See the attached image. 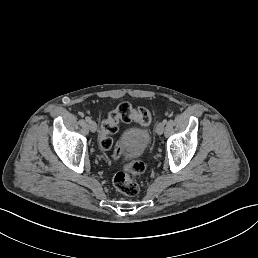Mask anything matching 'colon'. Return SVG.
<instances>
[{
	"instance_id": "1",
	"label": "colon",
	"mask_w": 258,
	"mask_h": 258,
	"mask_svg": "<svg viewBox=\"0 0 258 258\" xmlns=\"http://www.w3.org/2000/svg\"><path fill=\"white\" fill-rule=\"evenodd\" d=\"M152 121V115L145 107L134 108L128 102L120 103L115 110L109 113L101 124L100 145L103 150L111 151L114 158L119 157L121 149L113 140V135L118 131L120 122H135L141 126H148ZM145 171L142 161H134L126 164L118 171L113 179L115 188L126 196H136L140 191L137 176Z\"/></svg>"
}]
</instances>
